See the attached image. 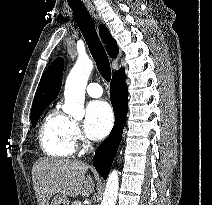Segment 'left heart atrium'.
Listing matches in <instances>:
<instances>
[{"label":"left heart atrium","instance_id":"obj_1","mask_svg":"<svg viewBox=\"0 0 212 205\" xmlns=\"http://www.w3.org/2000/svg\"><path fill=\"white\" fill-rule=\"evenodd\" d=\"M113 113L108 103L92 101L86 108L84 131L88 138L99 140L105 137L113 126Z\"/></svg>","mask_w":212,"mask_h":205}]
</instances>
